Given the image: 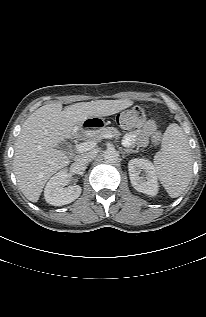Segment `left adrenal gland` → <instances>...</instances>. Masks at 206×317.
<instances>
[{
    "instance_id": "left-adrenal-gland-1",
    "label": "left adrenal gland",
    "mask_w": 206,
    "mask_h": 317,
    "mask_svg": "<svg viewBox=\"0 0 206 317\" xmlns=\"http://www.w3.org/2000/svg\"><path fill=\"white\" fill-rule=\"evenodd\" d=\"M124 150V152L123 153H127V154H129V153H136V152H138L137 150H132V149H123Z\"/></svg>"
}]
</instances>
